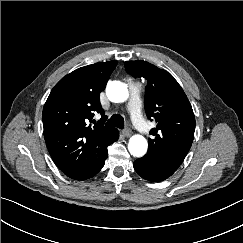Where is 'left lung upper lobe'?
<instances>
[{
  "label": "left lung upper lobe",
  "mask_w": 243,
  "mask_h": 243,
  "mask_svg": "<svg viewBox=\"0 0 243 243\" xmlns=\"http://www.w3.org/2000/svg\"><path fill=\"white\" fill-rule=\"evenodd\" d=\"M128 73L144 77L145 111L155 119L150 131L149 150L145 156L177 169L189 152L195 131V117L190 102L178 82L167 71L143 61H126Z\"/></svg>",
  "instance_id": "obj_1"
}]
</instances>
